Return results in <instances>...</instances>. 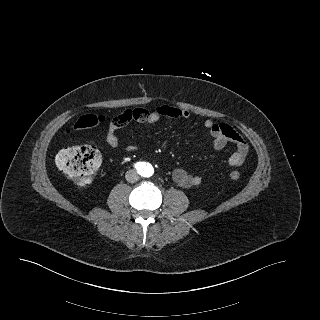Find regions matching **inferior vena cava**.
Instances as JSON below:
<instances>
[{"label": "inferior vena cava", "mask_w": 320, "mask_h": 320, "mask_svg": "<svg viewBox=\"0 0 320 320\" xmlns=\"http://www.w3.org/2000/svg\"><path fill=\"white\" fill-rule=\"evenodd\" d=\"M125 178H126V180H127L128 182L134 183V182L138 181L139 176H138V174H137L136 171H134V170H129V171L126 172Z\"/></svg>", "instance_id": "obj_1"}]
</instances>
